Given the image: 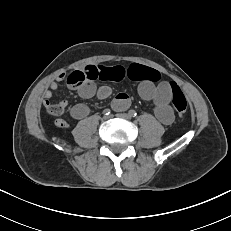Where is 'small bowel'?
Segmentation results:
<instances>
[{
  "mask_svg": "<svg viewBox=\"0 0 231 231\" xmlns=\"http://www.w3.org/2000/svg\"><path fill=\"white\" fill-rule=\"evenodd\" d=\"M144 66L132 64L128 67L123 66H104V65H87L79 72L84 76V82L78 87V94L81 98L89 99L97 96L99 99L109 97L112 90L109 86L97 88L95 80L119 81L125 77H130L139 81L138 93L143 100L152 101L156 117L165 125H169L174 120V113L170 107L172 99V90L168 82L155 84L143 76L142 69ZM65 79V74H59L55 80L51 81L49 88L44 92V106L51 103L53 91L58 88V82ZM61 107L67 105L63 100L59 103ZM130 105L129 96L126 93H119L113 99L112 106L115 110L121 111ZM89 114V108L85 104H76L70 108V115L76 120L84 119ZM56 125L60 128L68 127V123L62 119L56 120Z\"/></svg>",
  "mask_w": 231,
  "mask_h": 231,
  "instance_id": "1",
  "label": "small bowel"
}]
</instances>
